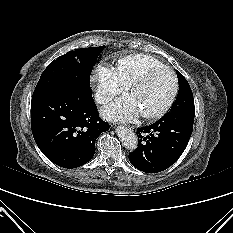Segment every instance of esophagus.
I'll return each mask as SVG.
<instances>
[{"label": "esophagus", "instance_id": "esophagus-1", "mask_svg": "<svg viewBox=\"0 0 233 233\" xmlns=\"http://www.w3.org/2000/svg\"><path fill=\"white\" fill-rule=\"evenodd\" d=\"M129 129L133 131V130H134V127H133V126H130Z\"/></svg>", "mask_w": 233, "mask_h": 233}]
</instances>
